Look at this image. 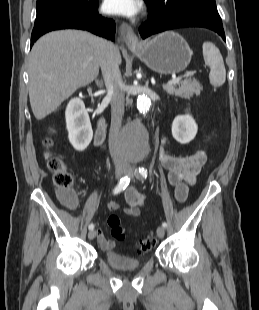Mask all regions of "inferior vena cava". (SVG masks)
I'll return each mask as SVG.
<instances>
[{"label":"inferior vena cava","instance_id":"inferior-vena-cava-1","mask_svg":"<svg viewBox=\"0 0 259 310\" xmlns=\"http://www.w3.org/2000/svg\"><path fill=\"white\" fill-rule=\"evenodd\" d=\"M115 46L109 43L107 52L101 60V70L108 96L111 98V126L109 148L116 165L125 163L122 150L118 145V135L124 115V84L119 70V63L114 55Z\"/></svg>","mask_w":259,"mask_h":310}]
</instances>
